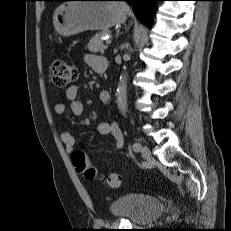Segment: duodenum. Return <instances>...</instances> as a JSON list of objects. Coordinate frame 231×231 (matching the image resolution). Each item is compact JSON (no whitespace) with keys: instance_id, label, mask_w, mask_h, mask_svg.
Returning a JSON list of instances; mask_svg holds the SVG:
<instances>
[{"instance_id":"410a0bca","label":"duodenum","mask_w":231,"mask_h":231,"mask_svg":"<svg viewBox=\"0 0 231 231\" xmlns=\"http://www.w3.org/2000/svg\"><path fill=\"white\" fill-rule=\"evenodd\" d=\"M108 67V63L107 64H101L99 65L95 70L98 74L103 75Z\"/></svg>"}]
</instances>
